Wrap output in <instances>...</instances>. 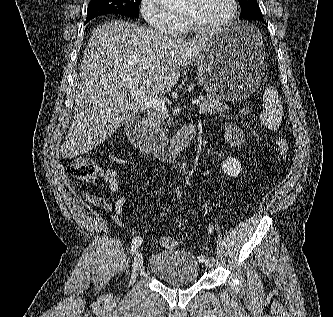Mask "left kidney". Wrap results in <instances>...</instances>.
<instances>
[{
  "label": "left kidney",
  "mask_w": 333,
  "mask_h": 317,
  "mask_svg": "<svg viewBox=\"0 0 333 317\" xmlns=\"http://www.w3.org/2000/svg\"><path fill=\"white\" fill-rule=\"evenodd\" d=\"M221 168L225 174L231 177H237L242 169L241 163L232 157H228V159L221 164Z\"/></svg>",
  "instance_id": "left-kidney-1"
}]
</instances>
